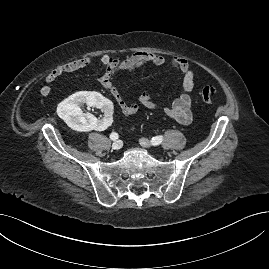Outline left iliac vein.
Listing matches in <instances>:
<instances>
[{"instance_id": "4c4485c4", "label": "left iliac vein", "mask_w": 269, "mask_h": 269, "mask_svg": "<svg viewBox=\"0 0 269 269\" xmlns=\"http://www.w3.org/2000/svg\"><path fill=\"white\" fill-rule=\"evenodd\" d=\"M140 144L141 146L146 147V148H149L151 146V143L145 138L140 139Z\"/></svg>"}]
</instances>
